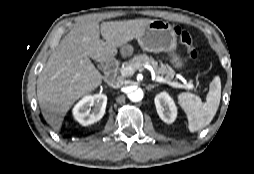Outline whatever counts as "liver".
I'll list each match as a JSON object with an SVG mask.
<instances>
[{
  "mask_svg": "<svg viewBox=\"0 0 254 174\" xmlns=\"http://www.w3.org/2000/svg\"><path fill=\"white\" fill-rule=\"evenodd\" d=\"M154 20L96 21L73 28L58 44L40 72L37 99L46 122L60 130L64 116L76 100L103 80L90 58L106 62L117 48L138 38ZM100 33L103 40L100 39Z\"/></svg>",
  "mask_w": 254,
  "mask_h": 174,
  "instance_id": "liver-1",
  "label": "liver"
}]
</instances>
